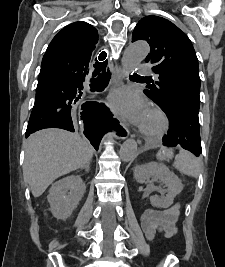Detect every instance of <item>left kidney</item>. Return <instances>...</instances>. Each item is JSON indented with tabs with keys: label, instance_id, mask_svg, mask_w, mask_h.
I'll return each mask as SVG.
<instances>
[{
	"label": "left kidney",
	"instance_id": "5707ae66",
	"mask_svg": "<svg viewBox=\"0 0 225 267\" xmlns=\"http://www.w3.org/2000/svg\"><path fill=\"white\" fill-rule=\"evenodd\" d=\"M134 178L137 182L143 183L150 178L159 180L167 187L166 196H151L150 202L156 208H168L173 204L174 198L182 191L183 185L178 177L168 167L156 162H150L137 166L134 169Z\"/></svg>",
	"mask_w": 225,
	"mask_h": 267
}]
</instances>
